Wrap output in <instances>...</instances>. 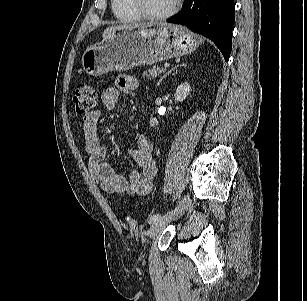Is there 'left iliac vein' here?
Listing matches in <instances>:
<instances>
[{
	"instance_id": "4c4485c4",
	"label": "left iliac vein",
	"mask_w": 307,
	"mask_h": 301,
	"mask_svg": "<svg viewBox=\"0 0 307 301\" xmlns=\"http://www.w3.org/2000/svg\"><path fill=\"white\" fill-rule=\"evenodd\" d=\"M189 205H190V199H189V196L186 195L174 209H172L169 213L159 218L156 222L152 223L151 227L148 230V236L150 238H153L154 236H156L171 221L178 218L185 210H187Z\"/></svg>"
}]
</instances>
